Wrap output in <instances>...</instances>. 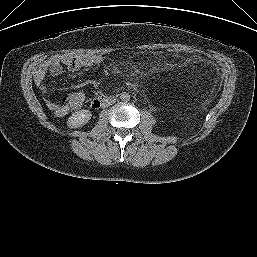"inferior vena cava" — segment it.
Masks as SVG:
<instances>
[{
  "label": "inferior vena cava",
  "instance_id": "inferior-vena-cava-1",
  "mask_svg": "<svg viewBox=\"0 0 257 257\" xmlns=\"http://www.w3.org/2000/svg\"><path fill=\"white\" fill-rule=\"evenodd\" d=\"M114 101L113 100H111L109 103H113Z\"/></svg>",
  "mask_w": 257,
  "mask_h": 257
}]
</instances>
